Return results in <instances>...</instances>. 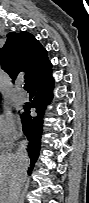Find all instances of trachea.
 I'll list each match as a JSON object with an SVG mask.
<instances>
[{
	"instance_id": "3493384b",
	"label": "trachea",
	"mask_w": 89,
	"mask_h": 203,
	"mask_svg": "<svg viewBox=\"0 0 89 203\" xmlns=\"http://www.w3.org/2000/svg\"><path fill=\"white\" fill-rule=\"evenodd\" d=\"M24 89H25L26 91H30L28 84H25V85H24Z\"/></svg>"
}]
</instances>
